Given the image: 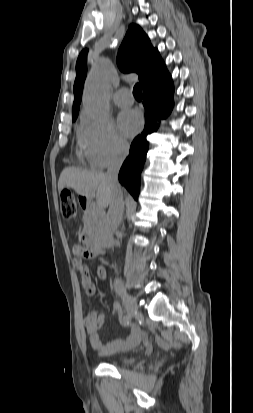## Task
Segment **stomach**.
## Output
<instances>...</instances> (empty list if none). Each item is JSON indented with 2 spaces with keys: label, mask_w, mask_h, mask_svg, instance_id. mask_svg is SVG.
Here are the masks:
<instances>
[{
  "label": "stomach",
  "mask_w": 253,
  "mask_h": 413,
  "mask_svg": "<svg viewBox=\"0 0 253 413\" xmlns=\"http://www.w3.org/2000/svg\"><path fill=\"white\" fill-rule=\"evenodd\" d=\"M80 200H81V202L84 203L86 206L89 205V203H90V198H87L86 196H82V195L79 196L78 201L80 202Z\"/></svg>",
  "instance_id": "1"
}]
</instances>
